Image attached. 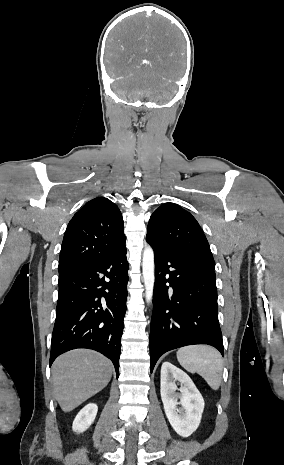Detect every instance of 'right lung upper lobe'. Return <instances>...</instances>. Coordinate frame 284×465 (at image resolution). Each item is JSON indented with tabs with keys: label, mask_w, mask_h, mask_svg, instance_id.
<instances>
[{
	"label": "right lung upper lobe",
	"mask_w": 284,
	"mask_h": 465,
	"mask_svg": "<svg viewBox=\"0 0 284 465\" xmlns=\"http://www.w3.org/2000/svg\"><path fill=\"white\" fill-rule=\"evenodd\" d=\"M122 214L112 201L97 197L70 220L65 231L59 277L89 267L125 246Z\"/></svg>",
	"instance_id": "1"
}]
</instances>
